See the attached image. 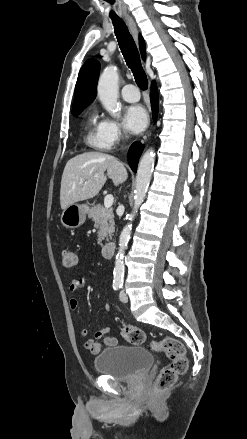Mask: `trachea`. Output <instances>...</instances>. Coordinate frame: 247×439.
<instances>
[{"mask_svg":"<svg viewBox=\"0 0 247 439\" xmlns=\"http://www.w3.org/2000/svg\"><path fill=\"white\" fill-rule=\"evenodd\" d=\"M110 17L113 21L115 35L119 42V46L125 58V61L128 67L132 70L135 81L139 88L142 90H146L148 88V80L141 66V61L136 44L132 36L130 35L125 23L119 17Z\"/></svg>","mask_w":247,"mask_h":439,"instance_id":"obj_1","label":"trachea"}]
</instances>
